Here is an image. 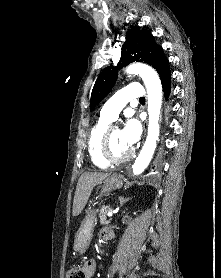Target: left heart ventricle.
<instances>
[{
	"mask_svg": "<svg viewBox=\"0 0 221 278\" xmlns=\"http://www.w3.org/2000/svg\"><path fill=\"white\" fill-rule=\"evenodd\" d=\"M110 149L114 157H123L131 150V148L124 143L121 130L117 127H114L111 131Z\"/></svg>",
	"mask_w": 221,
	"mask_h": 278,
	"instance_id": "b2bd125f",
	"label": "left heart ventricle"
}]
</instances>
